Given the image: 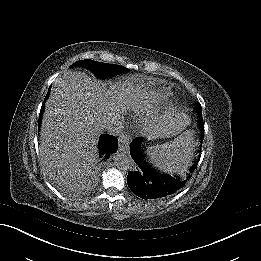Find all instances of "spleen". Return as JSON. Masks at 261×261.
Wrapping results in <instances>:
<instances>
[{
    "label": "spleen",
    "mask_w": 261,
    "mask_h": 261,
    "mask_svg": "<svg viewBox=\"0 0 261 261\" xmlns=\"http://www.w3.org/2000/svg\"><path fill=\"white\" fill-rule=\"evenodd\" d=\"M193 142V131L187 130L170 144L154 146L151 159L161 170L182 175L191 163Z\"/></svg>",
    "instance_id": "obj_1"
}]
</instances>
